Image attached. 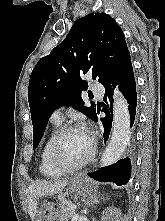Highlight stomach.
Returning <instances> with one entry per match:
<instances>
[{
	"label": "stomach",
	"instance_id": "1",
	"mask_svg": "<svg viewBox=\"0 0 165 221\" xmlns=\"http://www.w3.org/2000/svg\"><path fill=\"white\" fill-rule=\"evenodd\" d=\"M69 191L78 195L92 194L96 188L87 179L75 177L71 179ZM61 200H36L37 212H32L31 216L35 217L33 221H64V218H56V213H61Z\"/></svg>",
	"mask_w": 165,
	"mask_h": 221
}]
</instances>
